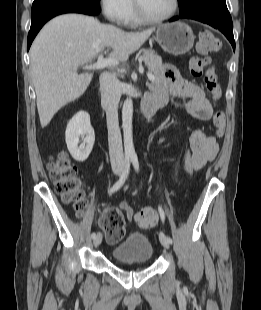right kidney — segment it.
Masks as SVG:
<instances>
[{
    "label": "right kidney",
    "instance_id": "ca27d5eb",
    "mask_svg": "<svg viewBox=\"0 0 261 310\" xmlns=\"http://www.w3.org/2000/svg\"><path fill=\"white\" fill-rule=\"evenodd\" d=\"M80 138L83 142L79 145ZM65 141L71 156L78 162L85 161L90 155L95 142V133L90 123V116L79 111L67 124Z\"/></svg>",
    "mask_w": 261,
    "mask_h": 310
}]
</instances>
